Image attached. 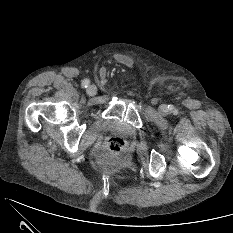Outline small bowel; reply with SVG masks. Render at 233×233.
I'll return each mask as SVG.
<instances>
[{
    "label": "small bowel",
    "mask_w": 233,
    "mask_h": 233,
    "mask_svg": "<svg viewBox=\"0 0 233 233\" xmlns=\"http://www.w3.org/2000/svg\"><path fill=\"white\" fill-rule=\"evenodd\" d=\"M116 60L119 61L120 63L126 65V66H131L132 65V59L125 55V54H117L115 56Z\"/></svg>",
    "instance_id": "c3829d8e"
}]
</instances>
